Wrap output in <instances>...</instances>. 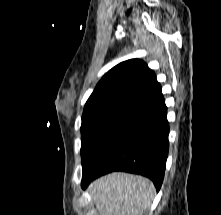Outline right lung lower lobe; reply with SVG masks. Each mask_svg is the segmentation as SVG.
<instances>
[{"label": "right lung lower lobe", "mask_w": 221, "mask_h": 215, "mask_svg": "<svg viewBox=\"0 0 221 215\" xmlns=\"http://www.w3.org/2000/svg\"><path fill=\"white\" fill-rule=\"evenodd\" d=\"M169 124L163 95L135 109L106 140L83 171L82 188L95 178L125 171L151 179L159 191L168 157Z\"/></svg>", "instance_id": "98d812e1"}]
</instances>
